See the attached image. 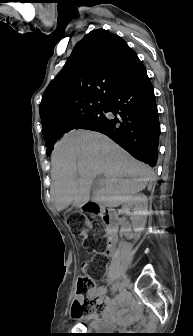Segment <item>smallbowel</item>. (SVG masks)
Segmentation results:
<instances>
[{
	"instance_id": "c3829d8e",
	"label": "small bowel",
	"mask_w": 193,
	"mask_h": 336,
	"mask_svg": "<svg viewBox=\"0 0 193 336\" xmlns=\"http://www.w3.org/2000/svg\"><path fill=\"white\" fill-rule=\"evenodd\" d=\"M105 288L102 286L93 288L88 296L99 297L103 304V318L110 325L129 326L141 321L138 314L131 310V301L123 297L119 303L104 295Z\"/></svg>"
}]
</instances>
